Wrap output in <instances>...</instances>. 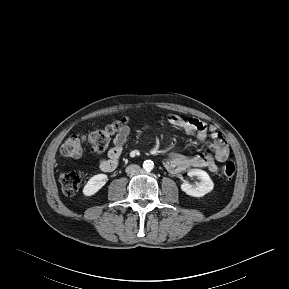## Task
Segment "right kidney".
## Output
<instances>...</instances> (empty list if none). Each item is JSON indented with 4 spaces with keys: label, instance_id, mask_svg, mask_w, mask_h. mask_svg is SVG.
I'll use <instances>...</instances> for the list:
<instances>
[{
    "label": "right kidney",
    "instance_id": "1",
    "mask_svg": "<svg viewBox=\"0 0 289 289\" xmlns=\"http://www.w3.org/2000/svg\"><path fill=\"white\" fill-rule=\"evenodd\" d=\"M107 175L97 174L92 176L83 188L85 196H92L97 193L107 182Z\"/></svg>",
    "mask_w": 289,
    "mask_h": 289
}]
</instances>
